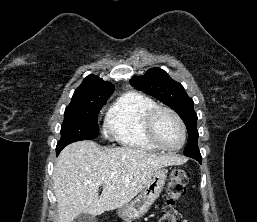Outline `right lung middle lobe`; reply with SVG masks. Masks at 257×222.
<instances>
[{
	"mask_svg": "<svg viewBox=\"0 0 257 222\" xmlns=\"http://www.w3.org/2000/svg\"><path fill=\"white\" fill-rule=\"evenodd\" d=\"M108 98H96L71 102L65 110L64 121L61 126V139L56 152L66 145L90 140L98 136L97 115Z\"/></svg>",
	"mask_w": 257,
	"mask_h": 222,
	"instance_id": "right-lung-middle-lobe-1",
	"label": "right lung middle lobe"
}]
</instances>
